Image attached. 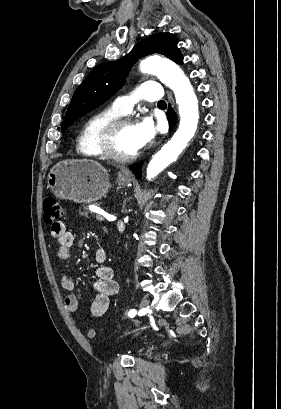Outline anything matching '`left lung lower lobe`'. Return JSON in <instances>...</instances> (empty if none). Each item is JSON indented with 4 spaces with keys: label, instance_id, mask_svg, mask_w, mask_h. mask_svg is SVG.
<instances>
[{
    "label": "left lung lower lobe",
    "instance_id": "1",
    "mask_svg": "<svg viewBox=\"0 0 281 409\" xmlns=\"http://www.w3.org/2000/svg\"><path fill=\"white\" fill-rule=\"evenodd\" d=\"M167 116L169 120L170 129H173L176 124V114L172 108L167 111ZM141 164H136L130 167V169L138 176L141 177Z\"/></svg>",
    "mask_w": 281,
    "mask_h": 409
}]
</instances>
